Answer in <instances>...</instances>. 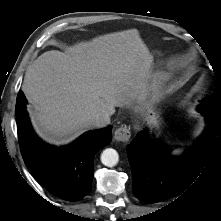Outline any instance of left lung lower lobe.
<instances>
[{"label": "left lung lower lobe", "mask_w": 221, "mask_h": 221, "mask_svg": "<svg viewBox=\"0 0 221 221\" xmlns=\"http://www.w3.org/2000/svg\"><path fill=\"white\" fill-rule=\"evenodd\" d=\"M204 115L207 127L202 137L179 158L170 159L165 145L149 140L146 132L137 134L127 147L132 190L141 201L155 203L178 195L205 171L215 147L221 145V115Z\"/></svg>", "instance_id": "1"}]
</instances>
